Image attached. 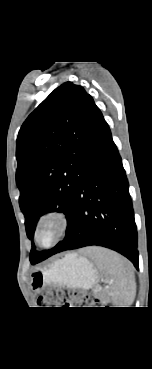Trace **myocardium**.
Masks as SVG:
<instances>
[{
    "instance_id": "f54148a6",
    "label": "myocardium",
    "mask_w": 152,
    "mask_h": 369,
    "mask_svg": "<svg viewBox=\"0 0 152 369\" xmlns=\"http://www.w3.org/2000/svg\"><path fill=\"white\" fill-rule=\"evenodd\" d=\"M48 224L55 225L56 234L50 243L43 244L40 240V233L42 229ZM68 226H69L68 217L63 211L61 210L47 211L40 217L35 230V241L37 245L44 249L52 248L64 238L68 230Z\"/></svg>"
}]
</instances>
